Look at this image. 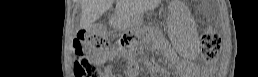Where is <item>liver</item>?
Instances as JSON below:
<instances>
[{"instance_id":"liver-1","label":"liver","mask_w":258,"mask_h":77,"mask_svg":"<svg viewBox=\"0 0 258 77\" xmlns=\"http://www.w3.org/2000/svg\"><path fill=\"white\" fill-rule=\"evenodd\" d=\"M114 3V0H82L81 1V27L87 28L99 19ZM116 14L119 17L127 18L131 9L127 1L116 0Z\"/></svg>"}]
</instances>
